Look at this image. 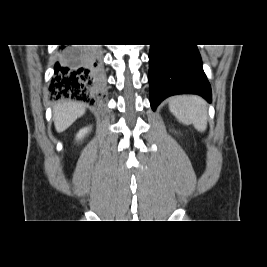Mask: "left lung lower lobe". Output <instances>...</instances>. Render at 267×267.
Wrapping results in <instances>:
<instances>
[{
	"label": "left lung lower lobe",
	"mask_w": 267,
	"mask_h": 267,
	"mask_svg": "<svg viewBox=\"0 0 267 267\" xmlns=\"http://www.w3.org/2000/svg\"><path fill=\"white\" fill-rule=\"evenodd\" d=\"M149 85L153 110L176 94H197L211 102V87L196 45H151Z\"/></svg>",
	"instance_id": "0a47b994"
}]
</instances>
